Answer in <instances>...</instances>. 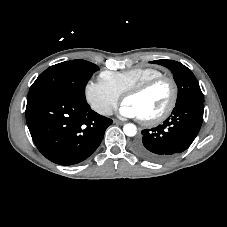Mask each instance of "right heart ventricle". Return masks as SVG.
I'll return each instance as SVG.
<instances>
[{
    "mask_svg": "<svg viewBox=\"0 0 227 227\" xmlns=\"http://www.w3.org/2000/svg\"><path fill=\"white\" fill-rule=\"evenodd\" d=\"M162 75V72L152 67H134L123 71H103L101 81L119 96L130 88L153 77Z\"/></svg>",
    "mask_w": 227,
    "mask_h": 227,
    "instance_id": "right-heart-ventricle-1",
    "label": "right heart ventricle"
}]
</instances>
